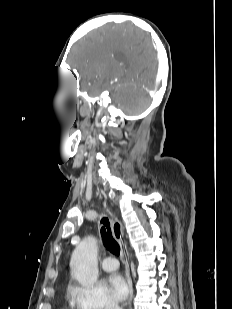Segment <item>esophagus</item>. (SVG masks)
I'll list each match as a JSON object with an SVG mask.
<instances>
[{"label":"esophagus","mask_w":232,"mask_h":309,"mask_svg":"<svg viewBox=\"0 0 232 309\" xmlns=\"http://www.w3.org/2000/svg\"><path fill=\"white\" fill-rule=\"evenodd\" d=\"M112 232L114 238L119 242L122 250V256L125 263V270H126V279L129 286V297H128V306L131 305L132 298H133V284L130 274V266H129V258L127 256V248L126 243L124 240V230L123 226L120 221L114 220L112 222Z\"/></svg>","instance_id":"1"}]
</instances>
